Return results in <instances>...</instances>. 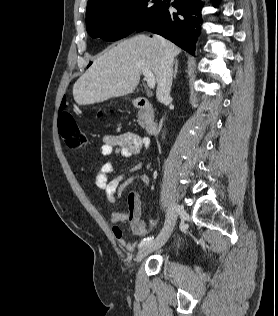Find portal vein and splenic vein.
<instances>
[{
	"label": "portal vein and splenic vein",
	"instance_id": "1",
	"mask_svg": "<svg viewBox=\"0 0 278 316\" xmlns=\"http://www.w3.org/2000/svg\"><path fill=\"white\" fill-rule=\"evenodd\" d=\"M143 75L146 78L148 87L150 89H153L155 87V76H154L153 72H151L149 70H144Z\"/></svg>",
	"mask_w": 278,
	"mask_h": 316
}]
</instances>
